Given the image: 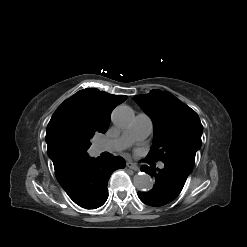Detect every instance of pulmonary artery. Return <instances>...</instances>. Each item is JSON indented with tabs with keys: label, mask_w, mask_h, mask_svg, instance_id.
Here are the masks:
<instances>
[{
	"label": "pulmonary artery",
	"mask_w": 247,
	"mask_h": 247,
	"mask_svg": "<svg viewBox=\"0 0 247 247\" xmlns=\"http://www.w3.org/2000/svg\"><path fill=\"white\" fill-rule=\"evenodd\" d=\"M153 128L152 119L145 113H139L133 124L126 129L121 136L116 139L108 140L99 145L102 152H116L123 150L132 143L146 139ZM159 168L163 169L164 164L160 163Z\"/></svg>",
	"instance_id": "pulmonary-artery-1"
}]
</instances>
